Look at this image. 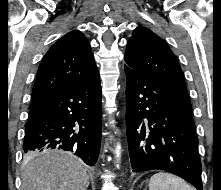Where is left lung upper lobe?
I'll return each mask as SVG.
<instances>
[{
	"label": "left lung upper lobe",
	"instance_id": "obj_1",
	"mask_svg": "<svg viewBox=\"0 0 221 190\" xmlns=\"http://www.w3.org/2000/svg\"><path fill=\"white\" fill-rule=\"evenodd\" d=\"M124 60L145 72L183 99L190 101L180 65L168 45L150 29L137 27L127 43Z\"/></svg>",
	"mask_w": 221,
	"mask_h": 190
}]
</instances>
